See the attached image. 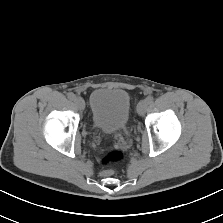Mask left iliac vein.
Wrapping results in <instances>:
<instances>
[{"label": "left iliac vein", "mask_w": 223, "mask_h": 223, "mask_svg": "<svg viewBox=\"0 0 223 223\" xmlns=\"http://www.w3.org/2000/svg\"><path fill=\"white\" fill-rule=\"evenodd\" d=\"M148 103L146 100H141L137 105V113L143 115L147 109Z\"/></svg>", "instance_id": "1"}]
</instances>
